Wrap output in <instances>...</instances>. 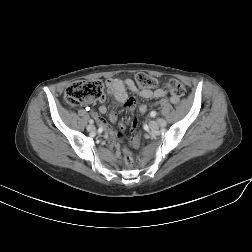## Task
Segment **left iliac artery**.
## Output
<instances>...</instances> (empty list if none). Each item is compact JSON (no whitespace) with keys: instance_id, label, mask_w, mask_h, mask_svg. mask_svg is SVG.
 Wrapping results in <instances>:
<instances>
[{"instance_id":"44dca946","label":"left iliac artery","mask_w":252,"mask_h":252,"mask_svg":"<svg viewBox=\"0 0 252 252\" xmlns=\"http://www.w3.org/2000/svg\"><path fill=\"white\" fill-rule=\"evenodd\" d=\"M156 114H157V113H156L155 111H152V112L150 113L151 117H155Z\"/></svg>"}]
</instances>
